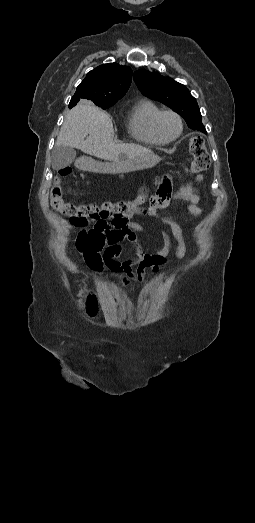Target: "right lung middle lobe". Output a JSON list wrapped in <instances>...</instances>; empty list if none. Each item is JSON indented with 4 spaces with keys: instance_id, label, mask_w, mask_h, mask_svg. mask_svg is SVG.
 <instances>
[{
    "instance_id": "1",
    "label": "right lung middle lobe",
    "mask_w": 255,
    "mask_h": 523,
    "mask_svg": "<svg viewBox=\"0 0 255 523\" xmlns=\"http://www.w3.org/2000/svg\"><path fill=\"white\" fill-rule=\"evenodd\" d=\"M115 103L116 102L96 103L95 105L101 107L102 109H107V108L111 107L112 105H114Z\"/></svg>"
}]
</instances>
